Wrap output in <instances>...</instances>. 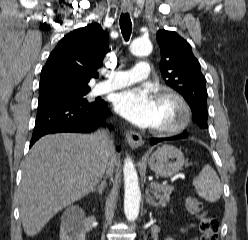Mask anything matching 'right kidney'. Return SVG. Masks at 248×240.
Segmentation results:
<instances>
[{
    "instance_id": "ca27d5eb",
    "label": "right kidney",
    "mask_w": 248,
    "mask_h": 240,
    "mask_svg": "<svg viewBox=\"0 0 248 240\" xmlns=\"http://www.w3.org/2000/svg\"><path fill=\"white\" fill-rule=\"evenodd\" d=\"M86 228L83 224L63 221L60 226V240H85Z\"/></svg>"
}]
</instances>
